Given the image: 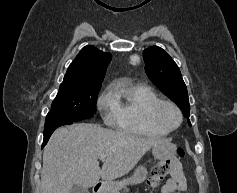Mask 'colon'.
Masks as SVG:
<instances>
[{"mask_svg": "<svg viewBox=\"0 0 237 193\" xmlns=\"http://www.w3.org/2000/svg\"><path fill=\"white\" fill-rule=\"evenodd\" d=\"M177 154L179 157L184 156V151L182 149L177 150ZM172 164L170 160L159 162L153 168L152 177L149 180V184L152 186L157 185L160 181H162L165 176L171 171Z\"/></svg>", "mask_w": 237, "mask_h": 193, "instance_id": "1", "label": "colon"}]
</instances>
